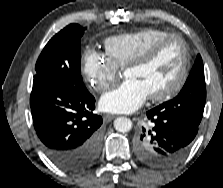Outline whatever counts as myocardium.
I'll use <instances>...</instances> for the list:
<instances>
[{
	"label": "myocardium",
	"instance_id": "f54148a6",
	"mask_svg": "<svg viewBox=\"0 0 223 188\" xmlns=\"http://www.w3.org/2000/svg\"><path fill=\"white\" fill-rule=\"evenodd\" d=\"M177 40L180 42L183 50V60L180 72L174 82L165 90L159 93L149 95L152 101H165L176 95L185 84L190 70V50L186 40L179 34L168 33L156 41L149 44L145 49L139 52L132 60L125 66V71L131 68L139 67L149 62L157 51L168 41Z\"/></svg>",
	"mask_w": 223,
	"mask_h": 188
}]
</instances>
